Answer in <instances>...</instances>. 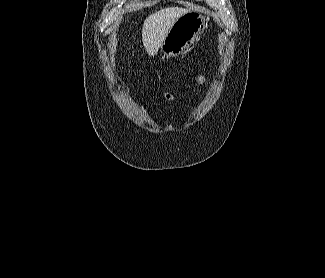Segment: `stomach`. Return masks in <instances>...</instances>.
Listing matches in <instances>:
<instances>
[{"mask_svg":"<svg viewBox=\"0 0 325 278\" xmlns=\"http://www.w3.org/2000/svg\"><path fill=\"white\" fill-rule=\"evenodd\" d=\"M202 15L188 12L179 17L168 31L161 51L166 57H176L193 45L206 28Z\"/></svg>","mask_w":325,"mask_h":278,"instance_id":"0dacf381","label":"stomach"}]
</instances>
